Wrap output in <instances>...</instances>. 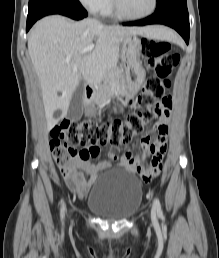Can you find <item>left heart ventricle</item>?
I'll return each mask as SVG.
<instances>
[{
	"label": "left heart ventricle",
	"instance_id": "1",
	"mask_svg": "<svg viewBox=\"0 0 219 258\" xmlns=\"http://www.w3.org/2000/svg\"><path fill=\"white\" fill-rule=\"evenodd\" d=\"M122 9L130 15H140L148 12L153 0H119Z\"/></svg>",
	"mask_w": 219,
	"mask_h": 258
}]
</instances>
